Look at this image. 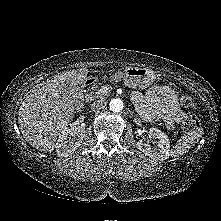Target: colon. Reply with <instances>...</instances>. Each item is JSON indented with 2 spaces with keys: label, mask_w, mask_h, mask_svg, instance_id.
Instances as JSON below:
<instances>
[{
  "label": "colon",
  "mask_w": 221,
  "mask_h": 221,
  "mask_svg": "<svg viewBox=\"0 0 221 221\" xmlns=\"http://www.w3.org/2000/svg\"><path fill=\"white\" fill-rule=\"evenodd\" d=\"M179 102L185 108L193 106V100L188 94H181L179 97ZM182 125L184 129L192 130L199 126V119L192 113L185 114L182 120Z\"/></svg>",
  "instance_id": "1"
}]
</instances>
